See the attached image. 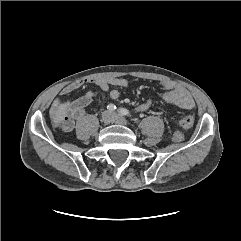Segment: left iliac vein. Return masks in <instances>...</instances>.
<instances>
[{
	"instance_id": "left-iliac-vein-1",
	"label": "left iliac vein",
	"mask_w": 241,
	"mask_h": 241,
	"mask_svg": "<svg viewBox=\"0 0 241 241\" xmlns=\"http://www.w3.org/2000/svg\"><path fill=\"white\" fill-rule=\"evenodd\" d=\"M113 116H114L113 122H115L117 124H121V125L128 124L127 120L123 116H121L119 114H113Z\"/></svg>"
}]
</instances>
